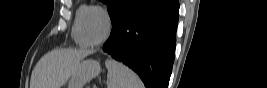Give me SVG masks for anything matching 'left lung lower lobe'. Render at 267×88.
<instances>
[{
    "instance_id": "left-lung-lower-lobe-1",
    "label": "left lung lower lobe",
    "mask_w": 267,
    "mask_h": 88,
    "mask_svg": "<svg viewBox=\"0 0 267 88\" xmlns=\"http://www.w3.org/2000/svg\"><path fill=\"white\" fill-rule=\"evenodd\" d=\"M178 17V0H130L103 50L138 73L147 88H167Z\"/></svg>"
}]
</instances>
